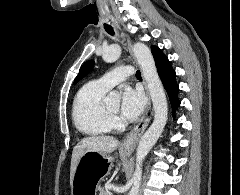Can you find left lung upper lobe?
Segmentation results:
<instances>
[{"instance_id": "1", "label": "left lung upper lobe", "mask_w": 240, "mask_h": 195, "mask_svg": "<svg viewBox=\"0 0 240 195\" xmlns=\"http://www.w3.org/2000/svg\"><path fill=\"white\" fill-rule=\"evenodd\" d=\"M151 49H152V54L155 60H158L159 58L165 56L159 47L151 46ZM93 66H94L93 60H89L85 62L82 65L81 69L79 70V74L74 80V84H76L79 80H81L84 76H86L90 72V70L93 68Z\"/></svg>"}]
</instances>
